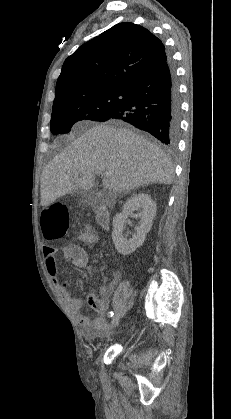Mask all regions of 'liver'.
<instances>
[{"mask_svg": "<svg viewBox=\"0 0 231 419\" xmlns=\"http://www.w3.org/2000/svg\"><path fill=\"white\" fill-rule=\"evenodd\" d=\"M99 172L108 174L103 186L113 192L173 181L171 163L157 145L130 129L99 124L74 139L45 167L41 205L49 206L76 190H90Z\"/></svg>", "mask_w": 231, "mask_h": 419, "instance_id": "liver-1", "label": "liver"}]
</instances>
